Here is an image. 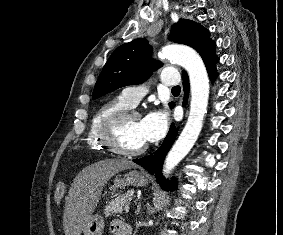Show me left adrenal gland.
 I'll list each match as a JSON object with an SVG mask.
<instances>
[{
  "instance_id": "left-adrenal-gland-1",
  "label": "left adrenal gland",
  "mask_w": 283,
  "mask_h": 235,
  "mask_svg": "<svg viewBox=\"0 0 283 235\" xmlns=\"http://www.w3.org/2000/svg\"><path fill=\"white\" fill-rule=\"evenodd\" d=\"M141 210V205L140 203L137 204V209H136V214L138 215L140 213Z\"/></svg>"
}]
</instances>
